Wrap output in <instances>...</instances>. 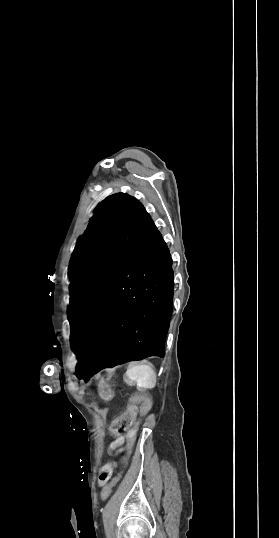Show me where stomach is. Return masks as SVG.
Instances as JSON below:
<instances>
[{
	"mask_svg": "<svg viewBox=\"0 0 279 538\" xmlns=\"http://www.w3.org/2000/svg\"><path fill=\"white\" fill-rule=\"evenodd\" d=\"M100 395L102 400L105 401L107 404H111L116 398L115 391L111 390L109 386H102L100 388Z\"/></svg>",
	"mask_w": 279,
	"mask_h": 538,
	"instance_id": "1",
	"label": "stomach"
}]
</instances>
